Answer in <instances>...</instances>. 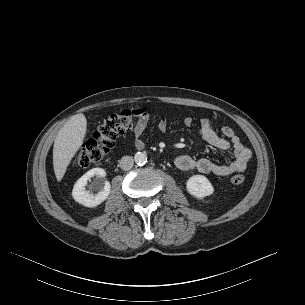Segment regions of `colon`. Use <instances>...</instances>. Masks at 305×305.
Wrapping results in <instances>:
<instances>
[{
  "label": "colon",
  "instance_id": "obj_1",
  "mask_svg": "<svg viewBox=\"0 0 305 305\" xmlns=\"http://www.w3.org/2000/svg\"><path fill=\"white\" fill-rule=\"evenodd\" d=\"M136 122L137 116L131 110H122L108 115L97 127L93 139L74 155L73 163L82 168L99 163L114 147L116 138L129 131ZM244 181L245 177L241 174L231 178V183L234 185H240Z\"/></svg>",
  "mask_w": 305,
  "mask_h": 305
}]
</instances>
